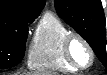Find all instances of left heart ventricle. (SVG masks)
<instances>
[{
    "label": "left heart ventricle",
    "mask_w": 107,
    "mask_h": 75,
    "mask_svg": "<svg viewBox=\"0 0 107 75\" xmlns=\"http://www.w3.org/2000/svg\"><path fill=\"white\" fill-rule=\"evenodd\" d=\"M71 53L74 59L82 64L86 65L90 61V54L86 46L79 40H74L71 44Z\"/></svg>",
    "instance_id": "1"
}]
</instances>
